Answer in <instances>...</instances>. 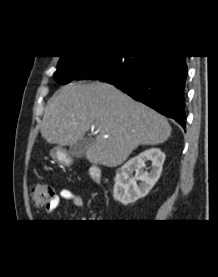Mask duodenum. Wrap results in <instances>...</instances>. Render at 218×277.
I'll return each instance as SVG.
<instances>
[{"label":"duodenum","mask_w":218,"mask_h":277,"mask_svg":"<svg viewBox=\"0 0 218 277\" xmlns=\"http://www.w3.org/2000/svg\"><path fill=\"white\" fill-rule=\"evenodd\" d=\"M90 177L94 180V181H99L101 179V171L97 166H92L90 168Z\"/></svg>","instance_id":"410a0bca"}]
</instances>
